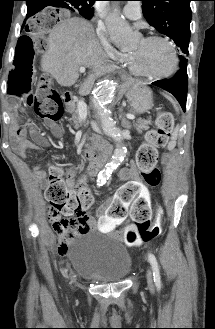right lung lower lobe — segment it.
<instances>
[{"instance_id": "obj_1", "label": "right lung lower lobe", "mask_w": 215, "mask_h": 329, "mask_svg": "<svg viewBox=\"0 0 215 329\" xmlns=\"http://www.w3.org/2000/svg\"><path fill=\"white\" fill-rule=\"evenodd\" d=\"M26 3H27V8H28L26 18H29L43 9L44 1L26 0Z\"/></svg>"}]
</instances>
